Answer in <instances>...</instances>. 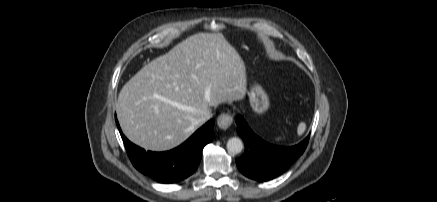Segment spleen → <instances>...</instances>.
Here are the masks:
<instances>
[{
  "mask_svg": "<svg viewBox=\"0 0 437 202\" xmlns=\"http://www.w3.org/2000/svg\"><path fill=\"white\" fill-rule=\"evenodd\" d=\"M305 130H306V124L304 122H301L297 128L298 135H302L305 132ZM281 139L282 138H276L277 141H279Z\"/></svg>",
  "mask_w": 437,
  "mask_h": 202,
  "instance_id": "obj_1",
  "label": "spleen"
}]
</instances>
